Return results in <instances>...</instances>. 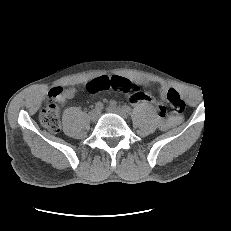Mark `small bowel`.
I'll list each match as a JSON object with an SVG mask.
<instances>
[{"instance_id":"obj_1","label":"small bowel","mask_w":231,"mask_h":231,"mask_svg":"<svg viewBox=\"0 0 231 231\" xmlns=\"http://www.w3.org/2000/svg\"><path fill=\"white\" fill-rule=\"evenodd\" d=\"M102 77H106V76H102ZM102 77H99V78H102ZM59 89L61 90V94L58 97V101L61 104H64L67 100L73 98L76 94V90L73 88H68V89L59 88ZM166 91H167V86L162 85L161 94L163 97L165 96ZM129 100L132 103H139V102L156 103V100L152 95L145 93V92H141V91H135L134 93L130 94ZM176 123H177V120L174 118H171L167 120L166 122L162 123L161 127L167 128Z\"/></svg>"}]
</instances>
